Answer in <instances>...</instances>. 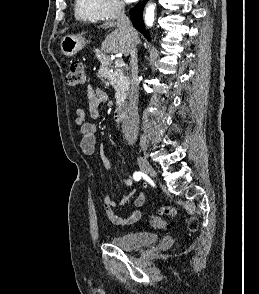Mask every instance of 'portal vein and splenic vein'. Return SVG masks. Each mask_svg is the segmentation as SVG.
<instances>
[{"mask_svg":"<svg viewBox=\"0 0 259 294\" xmlns=\"http://www.w3.org/2000/svg\"><path fill=\"white\" fill-rule=\"evenodd\" d=\"M123 65H124L123 60L118 59V60L115 61V66L116 67L121 68V67H123Z\"/></svg>","mask_w":259,"mask_h":294,"instance_id":"portal-vein-and-splenic-vein-1","label":"portal vein and splenic vein"}]
</instances>
